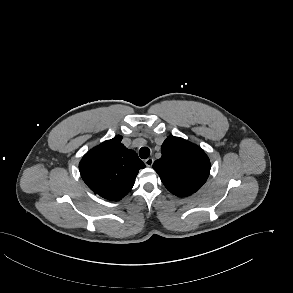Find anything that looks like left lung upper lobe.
<instances>
[{"instance_id": "5c2ea615", "label": "left lung upper lobe", "mask_w": 293, "mask_h": 293, "mask_svg": "<svg viewBox=\"0 0 293 293\" xmlns=\"http://www.w3.org/2000/svg\"><path fill=\"white\" fill-rule=\"evenodd\" d=\"M165 187L176 196L198 191L210 172L206 153L183 138L169 136L162 144V156L153 164Z\"/></svg>"}]
</instances>
